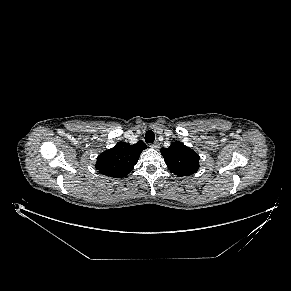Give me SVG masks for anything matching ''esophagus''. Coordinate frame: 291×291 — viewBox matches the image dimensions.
<instances>
[{
  "mask_svg": "<svg viewBox=\"0 0 291 291\" xmlns=\"http://www.w3.org/2000/svg\"><path fill=\"white\" fill-rule=\"evenodd\" d=\"M150 147H151V148L158 149V148L160 147V144H159L158 141H155L154 143H152V144L150 145Z\"/></svg>",
  "mask_w": 291,
  "mask_h": 291,
  "instance_id": "obj_1",
  "label": "esophagus"
}]
</instances>
